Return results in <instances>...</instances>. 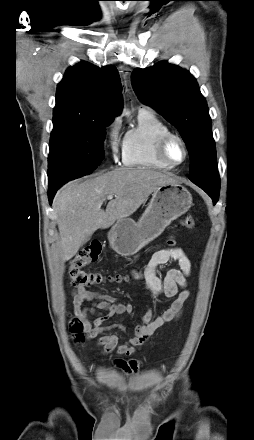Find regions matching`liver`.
<instances>
[{"mask_svg": "<svg viewBox=\"0 0 254 440\" xmlns=\"http://www.w3.org/2000/svg\"><path fill=\"white\" fill-rule=\"evenodd\" d=\"M177 183L171 175L146 168H120L84 182L71 181L55 195L62 257H74L86 235L132 215L157 187ZM109 195L116 196L101 206Z\"/></svg>", "mask_w": 254, "mask_h": 440, "instance_id": "6515ba94", "label": "liver"}]
</instances>
